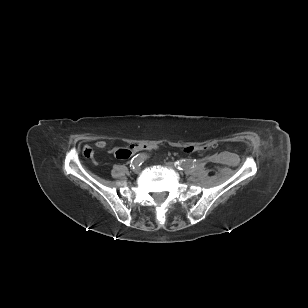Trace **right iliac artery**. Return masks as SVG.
Here are the masks:
<instances>
[{
  "label": "right iliac artery",
  "mask_w": 308,
  "mask_h": 308,
  "mask_svg": "<svg viewBox=\"0 0 308 308\" xmlns=\"http://www.w3.org/2000/svg\"><path fill=\"white\" fill-rule=\"evenodd\" d=\"M148 158L147 154L141 153L134 156L131 160V167L140 166Z\"/></svg>",
  "instance_id": "82829eb1"
}]
</instances>
